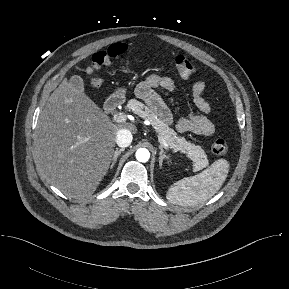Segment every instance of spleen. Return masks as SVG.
I'll return each mask as SVG.
<instances>
[{
	"instance_id": "spleen-1",
	"label": "spleen",
	"mask_w": 289,
	"mask_h": 289,
	"mask_svg": "<svg viewBox=\"0 0 289 289\" xmlns=\"http://www.w3.org/2000/svg\"><path fill=\"white\" fill-rule=\"evenodd\" d=\"M228 171L227 160L219 159L201 173L174 183L168 189L166 198L170 203L181 206L202 203L217 193L226 180Z\"/></svg>"
}]
</instances>
